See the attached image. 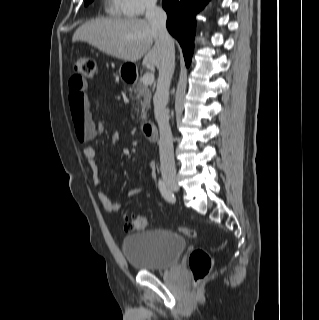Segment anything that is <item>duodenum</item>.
<instances>
[{"instance_id": "1", "label": "duodenum", "mask_w": 319, "mask_h": 320, "mask_svg": "<svg viewBox=\"0 0 319 320\" xmlns=\"http://www.w3.org/2000/svg\"><path fill=\"white\" fill-rule=\"evenodd\" d=\"M134 79L135 76L133 74H126L127 81L132 82ZM142 130L148 141L154 142L157 140L158 132L154 123L147 122L143 124Z\"/></svg>"}]
</instances>
